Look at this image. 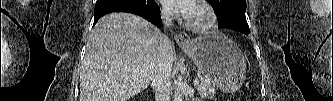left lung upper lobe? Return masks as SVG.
Here are the masks:
<instances>
[{
  "instance_id": "5c2ea615",
  "label": "left lung upper lobe",
  "mask_w": 333,
  "mask_h": 101,
  "mask_svg": "<svg viewBox=\"0 0 333 101\" xmlns=\"http://www.w3.org/2000/svg\"><path fill=\"white\" fill-rule=\"evenodd\" d=\"M208 2L215 1L214 6L217 5V0H207ZM220 16L226 21V23H231V20H241L246 21L245 16V7H239L233 0H224V3L221 4L219 8Z\"/></svg>"
}]
</instances>
